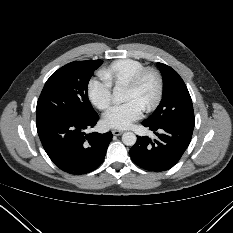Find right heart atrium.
Instances as JSON below:
<instances>
[{"label": "right heart atrium", "instance_id": "d8ad5b80", "mask_svg": "<svg viewBox=\"0 0 233 233\" xmlns=\"http://www.w3.org/2000/svg\"><path fill=\"white\" fill-rule=\"evenodd\" d=\"M87 96L99 110H108L113 103L112 86L103 78L93 77L87 84Z\"/></svg>", "mask_w": 233, "mask_h": 233}]
</instances>
